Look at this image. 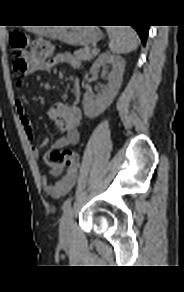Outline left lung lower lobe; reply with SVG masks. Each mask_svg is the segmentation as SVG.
<instances>
[{
  "mask_svg": "<svg viewBox=\"0 0 184 292\" xmlns=\"http://www.w3.org/2000/svg\"><path fill=\"white\" fill-rule=\"evenodd\" d=\"M137 33L139 34L142 43L145 45L146 42V38H147V34H148V30H149V26L146 25H133L132 26Z\"/></svg>",
  "mask_w": 184,
  "mask_h": 292,
  "instance_id": "left-lung-lower-lobe-1",
  "label": "left lung lower lobe"
}]
</instances>
